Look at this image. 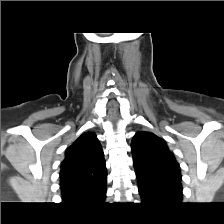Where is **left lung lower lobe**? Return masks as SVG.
Instances as JSON below:
<instances>
[{"instance_id": "obj_1", "label": "left lung lower lobe", "mask_w": 224, "mask_h": 224, "mask_svg": "<svg viewBox=\"0 0 224 224\" xmlns=\"http://www.w3.org/2000/svg\"><path fill=\"white\" fill-rule=\"evenodd\" d=\"M136 177L143 203L180 204L182 200L181 182L147 178L138 172H136Z\"/></svg>"}]
</instances>
